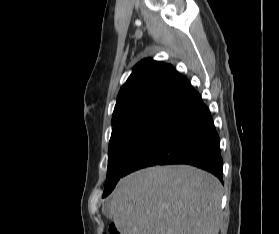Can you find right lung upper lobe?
Returning <instances> with one entry per match:
<instances>
[{
    "label": "right lung upper lobe",
    "mask_w": 279,
    "mask_h": 234,
    "mask_svg": "<svg viewBox=\"0 0 279 234\" xmlns=\"http://www.w3.org/2000/svg\"><path fill=\"white\" fill-rule=\"evenodd\" d=\"M192 86L172 65L147 58L140 61L122 86L113 118L129 111L152 107H172Z\"/></svg>",
    "instance_id": "cb5924a9"
}]
</instances>
